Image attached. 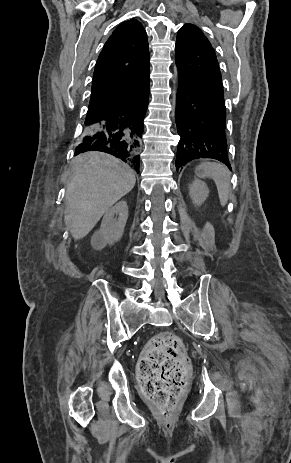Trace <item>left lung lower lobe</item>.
Listing matches in <instances>:
<instances>
[{"mask_svg": "<svg viewBox=\"0 0 291 463\" xmlns=\"http://www.w3.org/2000/svg\"><path fill=\"white\" fill-rule=\"evenodd\" d=\"M175 120L180 136L177 171L200 158L219 160L231 169L224 97L178 77Z\"/></svg>", "mask_w": 291, "mask_h": 463, "instance_id": "1", "label": "left lung lower lobe"}]
</instances>
